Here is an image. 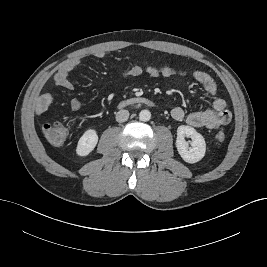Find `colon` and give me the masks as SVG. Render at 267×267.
<instances>
[{"label": "colon", "instance_id": "1", "mask_svg": "<svg viewBox=\"0 0 267 267\" xmlns=\"http://www.w3.org/2000/svg\"><path fill=\"white\" fill-rule=\"evenodd\" d=\"M177 72V70L169 65V64H162V65H147L137 69L135 66H132L123 71L122 76L124 77H136L137 75H155L161 74L164 76L173 75ZM43 133L47 140L55 145L59 146L65 142L68 136L67 128L60 122H52L46 123L43 126ZM225 140V135L223 132H219L215 136V142L222 143Z\"/></svg>", "mask_w": 267, "mask_h": 267}]
</instances>
